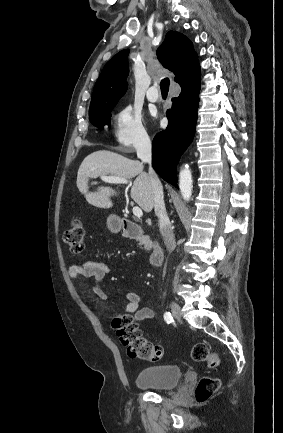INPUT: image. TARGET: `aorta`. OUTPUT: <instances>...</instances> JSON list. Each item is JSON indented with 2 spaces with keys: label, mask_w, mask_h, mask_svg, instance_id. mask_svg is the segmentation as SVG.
Returning a JSON list of instances; mask_svg holds the SVG:
<instances>
[{
  "label": "aorta",
  "mask_w": 283,
  "mask_h": 433,
  "mask_svg": "<svg viewBox=\"0 0 283 433\" xmlns=\"http://www.w3.org/2000/svg\"><path fill=\"white\" fill-rule=\"evenodd\" d=\"M193 180L191 170L188 166L181 169L179 173V189L185 201H189L192 195Z\"/></svg>",
  "instance_id": "762f6f07"
}]
</instances>
